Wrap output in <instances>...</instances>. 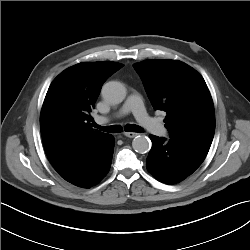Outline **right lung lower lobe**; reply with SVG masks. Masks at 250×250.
<instances>
[{"label":"right lung lower lobe","mask_w":250,"mask_h":250,"mask_svg":"<svg viewBox=\"0 0 250 250\" xmlns=\"http://www.w3.org/2000/svg\"><path fill=\"white\" fill-rule=\"evenodd\" d=\"M114 137L107 134L86 150L54 167L71 184L90 188L109 171L114 151Z\"/></svg>","instance_id":"1"}]
</instances>
